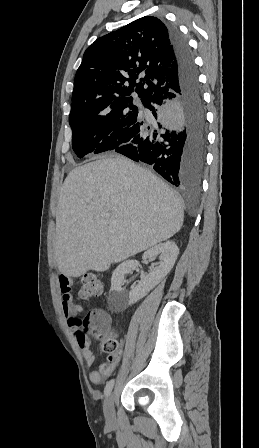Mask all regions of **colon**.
Returning a JSON list of instances; mask_svg holds the SVG:
<instances>
[{"label": "colon", "mask_w": 259, "mask_h": 448, "mask_svg": "<svg viewBox=\"0 0 259 448\" xmlns=\"http://www.w3.org/2000/svg\"><path fill=\"white\" fill-rule=\"evenodd\" d=\"M104 292V282L95 273H87L81 279L79 295L83 299L94 298ZM109 317L101 310H92L80 322L77 335L80 339L92 335L101 340L103 350L110 356L121 355V346L108 332Z\"/></svg>", "instance_id": "colon-1"}]
</instances>
